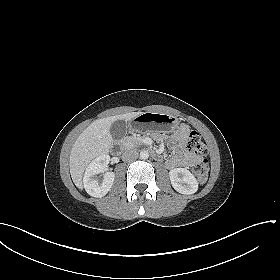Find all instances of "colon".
Listing matches in <instances>:
<instances>
[{"label":"colon","mask_w":280,"mask_h":280,"mask_svg":"<svg viewBox=\"0 0 280 280\" xmlns=\"http://www.w3.org/2000/svg\"><path fill=\"white\" fill-rule=\"evenodd\" d=\"M186 145L188 150L191 152L204 153L206 151V145L201 137V135L195 131L190 130L186 137ZM193 174L196 177L197 181L204 183L207 180L209 173V163L207 160H202L197 163L193 169Z\"/></svg>","instance_id":"colon-1"}]
</instances>
